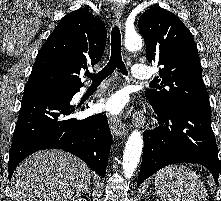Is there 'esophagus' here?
Segmentation results:
<instances>
[{
    "mask_svg": "<svg viewBox=\"0 0 221 201\" xmlns=\"http://www.w3.org/2000/svg\"><path fill=\"white\" fill-rule=\"evenodd\" d=\"M124 13V5L121 2L114 3V14L117 21H119ZM109 126L113 134L119 136L125 134L128 129L127 126L117 117H109Z\"/></svg>",
    "mask_w": 221,
    "mask_h": 201,
    "instance_id": "34e87169",
    "label": "esophagus"
}]
</instances>
